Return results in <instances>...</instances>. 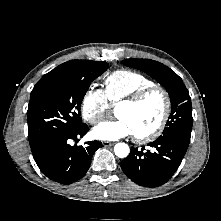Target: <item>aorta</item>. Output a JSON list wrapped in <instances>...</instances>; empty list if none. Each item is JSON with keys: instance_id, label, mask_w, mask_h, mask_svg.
Wrapping results in <instances>:
<instances>
[{"instance_id": "obj_1", "label": "aorta", "mask_w": 221, "mask_h": 221, "mask_svg": "<svg viewBox=\"0 0 221 221\" xmlns=\"http://www.w3.org/2000/svg\"><path fill=\"white\" fill-rule=\"evenodd\" d=\"M129 146L125 143H117L114 146V152L116 154V156H118L119 158H125L128 156L129 154Z\"/></svg>"}]
</instances>
